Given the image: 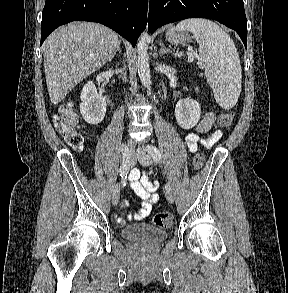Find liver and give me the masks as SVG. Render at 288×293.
Returning a JSON list of instances; mask_svg holds the SVG:
<instances>
[{"label":"liver","instance_id":"liver-1","mask_svg":"<svg viewBox=\"0 0 288 293\" xmlns=\"http://www.w3.org/2000/svg\"><path fill=\"white\" fill-rule=\"evenodd\" d=\"M118 35L103 25L72 22L57 28L43 44L50 100L61 102L78 83L100 69L116 51Z\"/></svg>","mask_w":288,"mask_h":293}]
</instances>
